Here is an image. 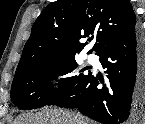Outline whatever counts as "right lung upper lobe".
I'll return each mask as SVG.
<instances>
[{
	"instance_id": "1",
	"label": "right lung upper lobe",
	"mask_w": 145,
	"mask_h": 124,
	"mask_svg": "<svg viewBox=\"0 0 145 124\" xmlns=\"http://www.w3.org/2000/svg\"><path fill=\"white\" fill-rule=\"evenodd\" d=\"M137 25L129 0H57L50 3L32 26L15 76L36 64L72 57L96 38L98 53L108 42L128 33Z\"/></svg>"
}]
</instances>
